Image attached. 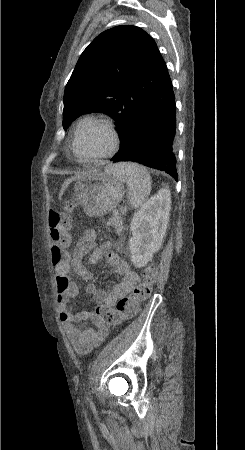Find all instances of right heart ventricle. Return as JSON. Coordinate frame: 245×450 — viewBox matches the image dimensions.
I'll use <instances>...</instances> for the list:
<instances>
[{
    "mask_svg": "<svg viewBox=\"0 0 245 450\" xmlns=\"http://www.w3.org/2000/svg\"><path fill=\"white\" fill-rule=\"evenodd\" d=\"M91 120H92L91 117H84V118H82V119L80 120L79 123H81V122H89V121H91Z\"/></svg>",
    "mask_w": 245,
    "mask_h": 450,
    "instance_id": "e07e8e85",
    "label": "right heart ventricle"
}]
</instances>
